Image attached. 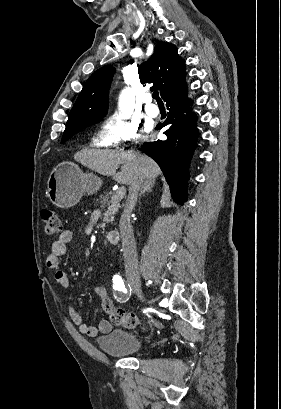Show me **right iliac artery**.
I'll use <instances>...</instances> for the list:
<instances>
[{"mask_svg":"<svg viewBox=\"0 0 281 409\" xmlns=\"http://www.w3.org/2000/svg\"><path fill=\"white\" fill-rule=\"evenodd\" d=\"M113 289L114 297L120 302H126L131 296V287L129 284H125L122 277L115 275L113 277Z\"/></svg>","mask_w":281,"mask_h":409,"instance_id":"1","label":"right iliac artery"}]
</instances>
